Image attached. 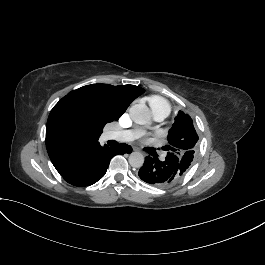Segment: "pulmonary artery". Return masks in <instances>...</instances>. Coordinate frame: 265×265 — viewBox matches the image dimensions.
Listing matches in <instances>:
<instances>
[{
    "instance_id": "1",
    "label": "pulmonary artery",
    "mask_w": 265,
    "mask_h": 265,
    "mask_svg": "<svg viewBox=\"0 0 265 265\" xmlns=\"http://www.w3.org/2000/svg\"><path fill=\"white\" fill-rule=\"evenodd\" d=\"M169 110L170 105L167 102L155 106L152 109V112L155 114L154 119L157 122H160L163 118H166L169 115ZM111 133L116 140L122 141H133L143 135L142 129L138 127L128 131L126 129H116L114 132L112 131Z\"/></svg>"
}]
</instances>
